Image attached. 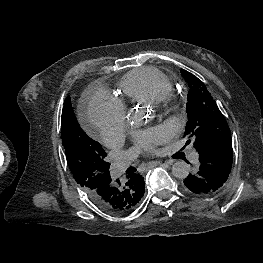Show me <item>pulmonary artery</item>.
Here are the masks:
<instances>
[{
  "mask_svg": "<svg viewBox=\"0 0 263 263\" xmlns=\"http://www.w3.org/2000/svg\"><path fill=\"white\" fill-rule=\"evenodd\" d=\"M134 157L135 155L131 153H126L120 156L114 163V167H113L114 175L116 177L120 176L125 171V169L129 166V164L131 163ZM189 160L191 162H196L198 160V153L195 150H192L190 152Z\"/></svg>",
  "mask_w": 263,
  "mask_h": 263,
  "instance_id": "obj_1",
  "label": "pulmonary artery"
}]
</instances>
